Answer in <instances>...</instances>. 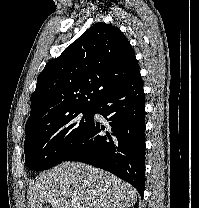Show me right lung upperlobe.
I'll list each match as a JSON object with an SVG mask.
<instances>
[{"label":"right lung upper lobe","mask_w":199,"mask_h":208,"mask_svg":"<svg viewBox=\"0 0 199 208\" xmlns=\"http://www.w3.org/2000/svg\"><path fill=\"white\" fill-rule=\"evenodd\" d=\"M139 75L124 34L115 26L94 24L39 74L25 134L76 109L93 107L105 94Z\"/></svg>","instance_id":"1"}]
</instances>
